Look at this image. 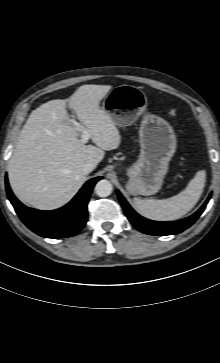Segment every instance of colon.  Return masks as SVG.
<instances>
[{
    "instance_id": "1",
    "label": "colon",
    "mask_w": 220,
    "mask_h": 363,
    "mask_svg": "<svg viewBox=\"0 0 220 363\" xmlns=\"http://www.w3.org/2000/svg\"><path fill=\"white\" fill-rule=\"evenodd\" d=\"M170 114H171L172 116H174V115H175V112H174V111H171V112H170Z\"/></svg>"
}]
</instances>
